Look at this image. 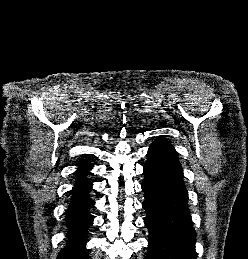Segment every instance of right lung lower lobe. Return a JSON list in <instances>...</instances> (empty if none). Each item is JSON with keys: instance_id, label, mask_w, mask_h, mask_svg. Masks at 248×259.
Wrapping results in <instances>:
<instances>
[{"instance_id": "98d812e1", "label": "right lung lower lobe", "mask_w": 248, "mask_h": 259, "mask_svg": "<svg viewBox=\"0 0 248 259\" xmlns=\"http://www.w3.org/2000/svg\"><path fill=\"white\" fill-rule=\"evenodd\" d=\"M76 171V182L72 201L66 212L67 244L61 251L57 259H90L87 250H85L86 230L92 225L93 220L89 215L88 209L94 206V201L88 196L91 190V183L87 180L86 175L90 174L92 168L87 160H83L78 164Z\"/></svg>"}]
</instances>
